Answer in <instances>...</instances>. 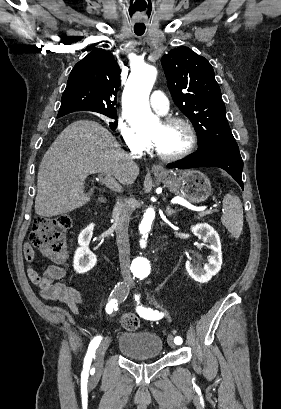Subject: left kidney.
<instances>
[{"label":"left kidney","instance_id":"1","mask_svg":"<svg viewBox=\"0 0 281 409\" xmlns=\"http://www.w3.org/2000/svg\"><path fill=\"white\" fill-rule=\"evenodd\" d=\"M191 231L195 237L203 239L204 243H209L211 255L209 263L204 265V269H199L196 265H192L191 261H186V271L194 281H198V283H208L214 275L219 273L222 265V251L219 235L214 231L213 227L208 225V223H198V225H193Z\"/></svg>","mask_w":281,"mask_h":409}]
</instances>
